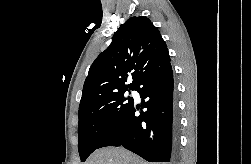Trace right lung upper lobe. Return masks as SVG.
I'll return each instance as SVG.
<instances>
[{
	"instance_id": "cb5924a9",
	"label": "right lung upper lobe",
	"mask_w": 251,
	"mask_h": 164,
	"mask_svg": "<svg viewBox=\"0 0 251 164\" xmlns=\"http://www.w3.org/2000/svg\"><path fill=\"white\" fill-rule=\"evenodd\" d=\"M169 63L166 43L151 21L143 16L129 18L91 65L79 109L101 96L135 90L148 74ZM131 71L133 81L126 85Z\"/></svg>"
}]
</instances>
